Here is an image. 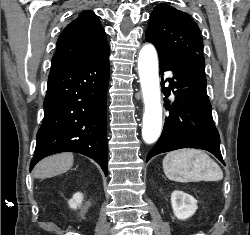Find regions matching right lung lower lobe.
<instances>
[{
  "label": "right lung lower lobe",
  "mask_w": 250,
  "mask_h": 235,
  "mask_svg": "<svg viewBox=\"0 0 250 235\" xmlns=\"http://www.w3.org/2000/svg\"><path fill=\"white\" fill-rule=\"evenodd\" d=\"M109 46L88 59L52 69L44 100V120L30 170L41 159L76 152L95 160L107 175V88Z\"/></svg>",
  "instance_id": "right-lung-lower-lobe-1"
}]
</instances>
